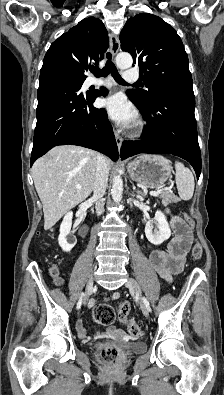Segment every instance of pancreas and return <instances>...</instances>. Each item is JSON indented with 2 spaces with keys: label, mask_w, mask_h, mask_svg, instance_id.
Instances as JSON below:
<instances>
[{
  "label": "pancreas",
  "mask_w": 224,
  "mask_h": 395,
  "mask_svg": "<svg viewBox=\"0 0 224 395\" xmlns=\"http://www.w3.org/2000/svg\"><path fill=\"white\" fill-rule=\"evenodd\" d=\"M158 197L162 200V204L164 205L179 201L178 197L171 192H162Z\"/></svg>",
  "instance_id": "1"
}]
</instances>
